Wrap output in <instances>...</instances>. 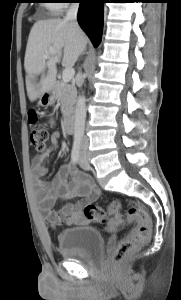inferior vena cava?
<instances>
[{
	"instance_id": "inferior-vena-cava-1",
	"label": "inferior vena cava",
	"mask_w": 181,
	"mask_h": 300,
	"mask_svg": "<svg viewBox=\"0 0 181 300\" xmlns=\"http://www.w3.org/2000/svg\"><path fill=\"white\" fill-rule=\"evenodd\" d=\"M79 4L78 3H72L70 8L67 11L66 17L64 18V21H71L73 23H76L77 20V13H78ZM87 141L84 139L82 141V144H86Z\"/></svg>"
}]
</instances>
